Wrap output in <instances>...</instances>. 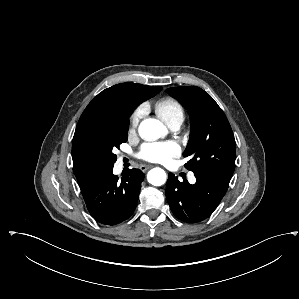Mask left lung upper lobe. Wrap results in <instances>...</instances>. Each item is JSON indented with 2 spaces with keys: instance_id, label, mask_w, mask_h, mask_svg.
I'll use <instances>...</instances> for the list:
<instances>
[{
  "instance_id": "obj_1",
  "label": "left lung upper lobe",
  "mask_w": 299,
  "mask_h": 299,
  "mask_svg": "<svg viewBox=\"0 0 299 299\" xmlns=\"http://www.w3.org/2000/svg\"><path fill=\"white\" fill-rule=\"evenodd\" d=\"M188 110L191 132L183 153L193 172H209L230 182L235 168L236 143L231 126L218 104L198 87L168 88Z\"/></svg>"
}]
</instances>
